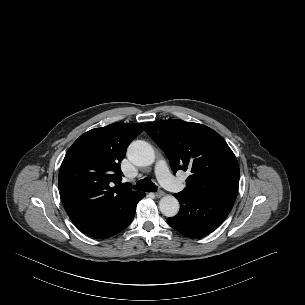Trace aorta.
<instances>
[{
  "mask_svg": "<svg viewBox=\"0 0 305 305\" xmlns=\"http://www.w3.org/2000/svg\"><path fill=\"white\" fill-rule=\"evenodd\" d=\"M127 157L134 165L149 166L155 160V153L149 143L137 140L129 145ZM179 208V202L173 196L166 195L160 199L159 209L166 217H174L177 215Z\"/></svg>",
  "mask_w": 305,
  "mask_h": 305,
  "instance_id": "aorta-1",
  "label": "aorta"
}]
</instances>
